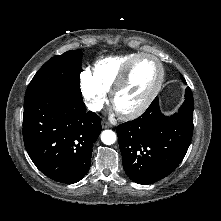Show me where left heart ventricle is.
Here are the masks:
<instances>
[{"instance_id":"1","label":"left heart ventricle","mask_w":221,"mask_h":221,"mask_svg":"<svg viewBox=\"0 0 221 221\" xmlns=\"http://www.w3.org/2000/svg\"><path fill=\"white\" fill-rule=\"evenodd\" d=\"M159 77V68L150 58L139 60L134 66L129 80L115 100L119 110H132L138 107L154 88Z\"/></svg>"}]
</instances>
